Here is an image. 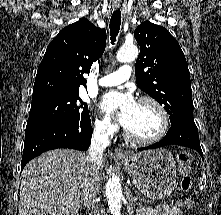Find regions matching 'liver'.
I'll use <instances>...</instances> for the list:
<instances>
[{"mask_svg":"<svg viewBox=\"0 0 221 215\" xmlns=\"http://www.w3.org/2000/svg\"><path fill=\"white\" fill-rule=\"evenodd\" d=\"M86 157L55 149L31 160L22 171L19 215H76L90 178Z\"/></svg>","mask_w":221,"mask_h":215,"instance_id":"1","label":"liver"}]
</instances>
